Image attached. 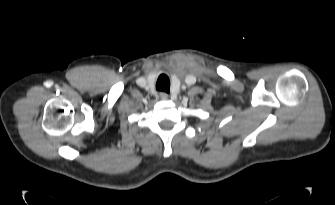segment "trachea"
Returning a JSON list of instances; mask_svg holds the SVG:
<instances>
[{"mask_svg":"<svg viewBox=\"0 0 335 205\" xmlns=\"http://www.w3.org/2000/svg\"><path fill=\"white\" fill-rule=\"evenodd\" d=\"M156 89L168 93L170 90V82L168 77L161 75L156 83Z\"/></svg>","mask_w":335,"mask_h":205,"instance_id":"obj_1","label":"trachea"}]
</instances>
